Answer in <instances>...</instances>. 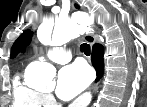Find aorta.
Returning a JSON list of instances; mask_svg holds the SVG:
<instances>
[{
    "label": "aorta",
    "instance_id": "obj_1",
    "mask_svg": "<svg viewBox=\"0 0 147 107\" xmlns=\"http://www.w3.org/2000/svg\"><path fill=\"white\" fill-rule=\"evenodd\" d=\"M85 20H71L67 22L58 21L55 24L52 34V45L58 46L69 42L71 39L89 31V27L85 25ZM46 37L45 31H38V38L42 41ZM28 83L29 85L39 88H53L54 77L56 74L55 68L46 62H32L28 68Z\"/></svg>",
    "mask_w": 147,
    "mask_h": 107
}]
</instances>
